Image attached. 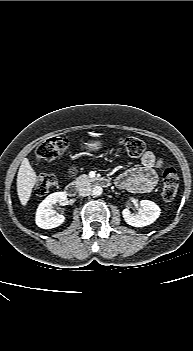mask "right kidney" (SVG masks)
Here are the masks:
<instances>
[{
  "mask_svg": "<svg viewBox=\"0 0 193 351\" xmlns=\"http://www.w3.org/2000/svg\"><path fill=\"white\" fill-rule=\"evenodd\" d=\"M67 199L66 192H54L48 195L38 206L36 211V224L42 229H52L60 226L65 217L61 214H56L52 209L56 203L62 204Z\"/></svg>",
  "mask_w": 193,
  "mask_h": 351,
  "instance_id": "right-kidney-1",
  "label": "right kidney"
}]
</instances>
